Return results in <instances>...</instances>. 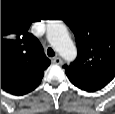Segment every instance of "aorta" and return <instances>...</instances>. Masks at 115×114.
<instances>
[{
    "label": "aorta",
    "instance_id": "1",
    "mask_svg": "<svg viewBox=\"0 0 115 114\" xmlns=\"http://www.w3.org/2000/svg\"><path fill=\"white\" fill-rule=\"evenodd\" d=\"M48 38L62 58L67 61H72L76 58V47L64 25L56 24L50 27L48 30Z\"/></svg>",
    "mask_w": 115,
    "mask_h": 114
}]
</instances>
